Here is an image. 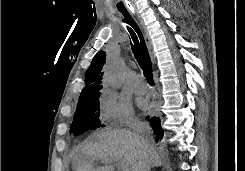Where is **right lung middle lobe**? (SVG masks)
Here are the masks:
<instances>
[{"instance_id": "right-lung-middle-lobe-1", "label": "right lung middle lobe", "mask_w": 245, "mask_h": 171, "mask_svg": "<svg viewBox=\"0 0 245 171\" xmlns=\"http://www.w3.org/2000/svg\"><path fill=\"white\" fill-rule=\"evenodd\" d=\"M99 115V95L80 99L70 133L80 135L88 130L99 128L101 126Z\"/></svg>"}]
</instances>
